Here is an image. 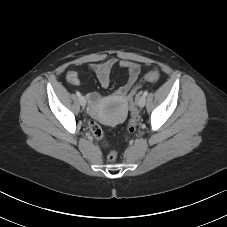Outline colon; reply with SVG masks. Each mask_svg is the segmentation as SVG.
<instances>
[{"label": "colon", "instance_id": "colon-1", "mask_svg": "<svg viewBox=\"0 0 227 227\" xmlns=\"http://www.w3.org/2000/svg\"><path fill=\"white\" fill-rule=\"evenodd\" d=\"M144 80L147 82L155 83L159 80V73L156 70L149 71L145 74ZM138 88H134L129 96H128V101L130 105V112H131V117L127 125V132L128 133H133L136 129V126L139 122L140 115L136 109V97L138 95ZM89 130L93 137L97 140H102L104 137L103 129L100 126L99 123L96 121H90L89 122ZM117 158V153L114 150H111L108 155H107V160L109 162H114Z\"/></svg>", "mask_w": 227, "mask_h": 227}]
</instances>
